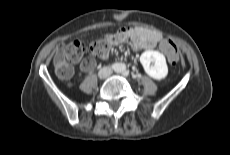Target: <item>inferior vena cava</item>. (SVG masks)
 Masks as SVG:
<instances>
[{
  "instance_id": "inferior-vena-cava-1",
  "label": "inferior vena cava",
  "mask_w": 230,
  "mask_h": 155,
  "mask_svg": "<svg viewBox=\"0 0 230 155\" xmlns=\"http://www.w3.org/2000/svg\"><path fill=\"white\" fill-rule=\"evenodd\" d=\"M112 74V70L109 67H105L99 71V76L101 78L109 77Z\"/></svg>"
}]
</instances>
